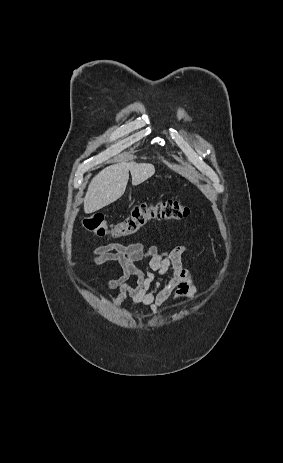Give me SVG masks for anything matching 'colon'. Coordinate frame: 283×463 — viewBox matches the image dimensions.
Returning a JSON list of instances; mask_svg holds the SVG:
<instances>
[{"label": "colon", "mask_w": 283, "mask_h": 463, "mask_svg": "<svg viewBox=\"0 0 283 463\" xmlns=\"http://www.w3.org/2000/svg\"><path fill=\"white\" fill-rule=\"evenodd\" d=\"M189 213V208L177 200L158 198L136 204L129 216L113 225L103 215H92L84 220L83 226L98 236L123 238L136 234L151 220H183Z\"/></svg>", "instance_id": "1"}]
</instances>
